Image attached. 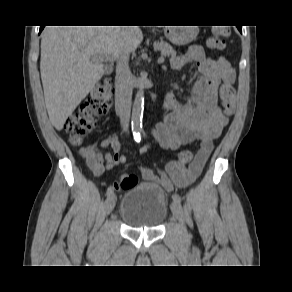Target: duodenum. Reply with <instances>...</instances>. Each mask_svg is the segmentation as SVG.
Segmentation results:
<instances>
[{
    "instance_id": "obj_1",
    "label": "duodenum",
    "mask_w": 292,
    "mask_h": 292,
    "mask_svg": "<svg viewBox=\"0 0 292 292\" xmlns=\"http://www.w3.org/2000/svg\"><path fill=\"white\" fill-rule=\"evenodd\" d=\"M127 109V97L124 88L121 84L117 86L116 93V112L118 115H123Z\"/></svg>"
}]
</instances>
